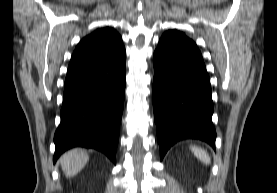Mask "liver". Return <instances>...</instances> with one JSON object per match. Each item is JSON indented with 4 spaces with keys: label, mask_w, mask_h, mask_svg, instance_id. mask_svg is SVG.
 Here are the masks:
<instances>
[{
    "label": "liver",
    "mask_w": 277,
    "mask_h": 193,
    "mask_svg": "<svg viewBox=\"0 0 277 193\" xmlns=\"http://www.w3.org/2000/svg\"><path fill=\"white\" fill-rule=\"evenodd\" d=\"M89 156L82 149H73L62 155L60 163L64 174L73 177L87 164Z\"/></svg>",
    "instance_id": "6515ba94"
}]
</instances>
